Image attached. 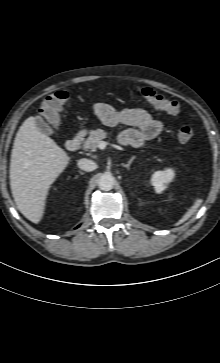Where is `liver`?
<instances>
[{"label":"liver","mask_w":220,"mask_h":363,"mask_svg":"<svg viewBox=\"0 0 220 363\" xmlns=\"http://www.w3.org/2000/svg\"><path fill=\"white\" fill-rule=\"evenodd\" d=\"M70 157L40 131L36 118L20 126L11 153L10 186L18 210L33 223L44 215L49 188L66 169Z\"/></svg>","instance_id":"obj_1"}]
</instances>
